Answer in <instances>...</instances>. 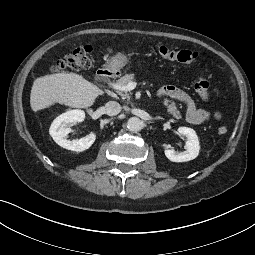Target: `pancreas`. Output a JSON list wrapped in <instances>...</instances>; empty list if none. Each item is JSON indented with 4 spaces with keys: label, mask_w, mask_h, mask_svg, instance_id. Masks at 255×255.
Returning <instances> with one entry per match:
<instances>
[{
    "label": "pancreas",
    "mask_w": 255,
    "mask_h": 255,
    "mask_svg": "<svg viewBox=\"0 0 255 255\" xmlns=\"http://www.w3.org/2000/svg\"><path fill=\"white\" fill-rule=\"evenodd\" d=\"M135 80V75L134 74H126L123 77H121L119 80H117V84L119 85H127L129 82H133ZM119 95L123 98V99H130L129 94L127 93V91H119L118 92ZM163 105L166 107V110L169 114H171L174 118L176 119H181V113L178 110L176 103L168 98H165L163 100Z\"/></svg>",
    "instance_id": "obj_1"
}]
</instances>
